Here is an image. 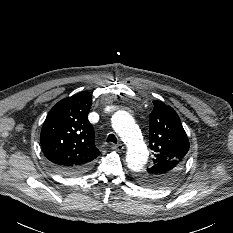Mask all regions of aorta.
<instances>
[{
	"label": "aorta",
	"instance_id": "762f6f07",
	"mask_svg": "<svg viewBox=\"0 0 233 233\" xmlns=\"http://www.w3.org/2000/svg\"><path fill=\"white\" fill-rule=\"evenodd\" d=\"M113 127L127 146L126 162L130 169L140 171L147 162L148 150L143 141L139 126L134 118L125 111L113 116Z\"/></svg>",
	"mask_w": 233,
	"mask_h": 233
}]
</instances>
